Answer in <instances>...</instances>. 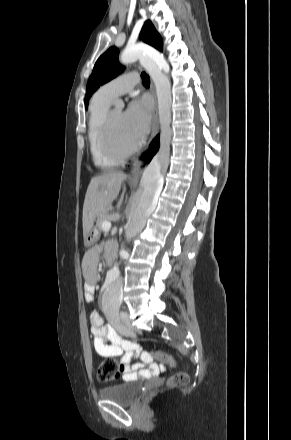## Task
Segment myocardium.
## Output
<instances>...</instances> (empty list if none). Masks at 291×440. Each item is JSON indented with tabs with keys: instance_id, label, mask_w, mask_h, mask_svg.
<instances>
[{
	"instance_id": "myocardium-1",
	"label": "myocardium",
	"mask_w": 291,
	"mask_h": 440,
	"mask_svg": "<svg viewBox=\"0 0 291 440\" xmlns=\"http://www.w3.org/2000/svg\"><path fill=\"white\" fill-rule=\"evenodd\" d=\"M112 114L108 112L101 129V137L104 149L109 157L116 161H124L133 155L139 148L138 143H135L128 149H119L113 142L112 138Z\"/></svg>"
}]
</instances>
